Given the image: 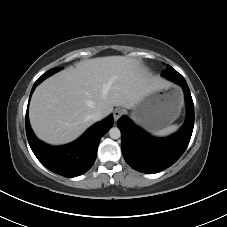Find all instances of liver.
Returning <instances> with one entry per match:
<instances>
[{
	"label": "liver",
	"instance_id": "obj_1",
	"mask_svg": "<svg viewBox=\"0 0 227 227\" xmlns=\"http://www.w3.org/2000/svg\"><path fill=\"white\" fill-rule=\"evenodd\" d=\"M157 81L139 60L126 56L87 59L43 81L34 91L29 118L37 137L69 143L89 128L91 114L108 116L114 106L132 109Z\"/></svg>",
	"mask_w": 227,
	"mask_h": 227
}]
</instances>
